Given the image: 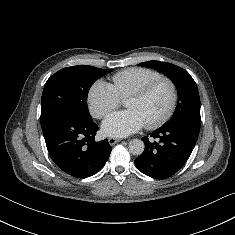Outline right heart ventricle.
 Instances as JSON below:
<instances>
[{"mask_svg":"<svg viewBox=\"0 0 235 235\" xmlns=\"http://www.w3.org/2000/svg\"><path fill=\"white\" fill-rule=\"evenodd\" d=\"M160 74L148 68H127L112 77V88L120 99L127 98L134 91L158 79Z\"/></svg>","mask_w":235,"mask_h":235,"instance_id":"right-heart-ventricle-1","label":"right heart ventricle"}]
</instances>
